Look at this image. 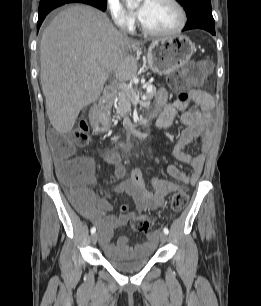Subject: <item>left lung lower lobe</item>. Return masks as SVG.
Segmentation results:
<instances>
[{"instance_id": "1", "label": "left lung lower lobe", "mask_w": 261, "mask_h": 306, "mask_svg": "<svg viewBox=\"0 0 261 306\" xmlns=\"http://www.w3.org/2000/svg\"><path fill=\"white\" fill-rule=\"evenodd\" d=\"M204 29L215 35V22L206 18L188 19L183 31L190 29Z\"/></svg>"}]
</instances>
